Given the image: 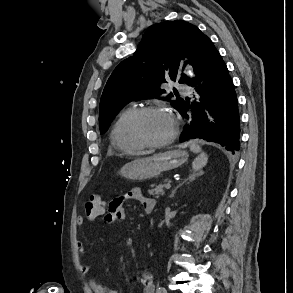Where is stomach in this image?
<instances>
[{"mask_svg": "<svg viewBox=\"0 0 293 293\" xmlns=\"http://www.w3.org/2000/svg\"><path fill=\"white\" fill-rule=\"evenodd\" d=\"M188 153L170 150L158 155L137 158L125 164L120 174L129 180L144 181L160 176L163 172L178 168L187 161Z\"/></svg>", "mask_w": 293, "mask_h": 293, "instance_id": "1", "label": "stomach"}]
</instances>
